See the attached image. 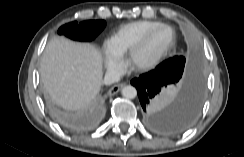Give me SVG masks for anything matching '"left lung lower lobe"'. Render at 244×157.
<instances>
[{"label": "left lung lower lobe", "mask_w": 244, "mask_h": 157, "mask_svg": "<svg viewBox=\"0 0 244 157\" xmlns=\"http://www.w3.org/2000/svg\"><path fill=\"white\" fill-rule=\"evenodd\" d=\"M131 84L136 87L145 112V122L161 133H180L196 120L204 98V78L197 66L182 64L169 71L155 68ZM180 86L178 96L170 100L168 93Z\"/></svg>", "instance_id": "1"}]
</instances>
